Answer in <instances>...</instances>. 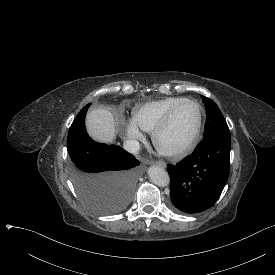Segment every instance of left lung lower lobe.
<instances>
[{"mask_svg": "<svg viewBox=\"0 0 275 275\" xmlns=\"http://www.w3.org/2000/svg\"><path fill=\"white\" fill-rule=\"evenodd\" d=\"M230 148V134L216 135L201 141L181 162L167 166L175 208L199 213L215 204L228 180Z\"/></svg>", "mask_w": 275, "mask_h": 275, "instance_id": "0a47b994", "label": "left lung lower lobe"}]
</instances>
